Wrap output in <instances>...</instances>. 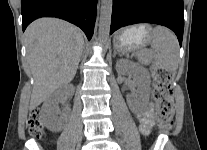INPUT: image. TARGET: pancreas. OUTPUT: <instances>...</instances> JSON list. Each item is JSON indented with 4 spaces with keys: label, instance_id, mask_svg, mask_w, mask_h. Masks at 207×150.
Here are the masks:
<instances>
[{
    "label": "pancreas",
    "instance_id": "pancreas-1",
    "mask_svg": "<svg viewBox=\"0 0 207 150\" xmlns=\"http://www.w3.org/2000/svg\"><path fill=\"white\" fill-rule=\"evenodd\" d=\"M137 58L142 64H145V65L150 64L151 62V56L149 53H146V52L138 53Z\"/></svg>",
    "mask_w": 207,
    "mask_h": 150
}]
</instances>
